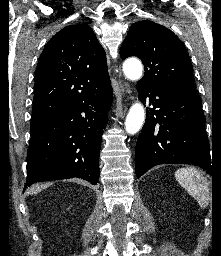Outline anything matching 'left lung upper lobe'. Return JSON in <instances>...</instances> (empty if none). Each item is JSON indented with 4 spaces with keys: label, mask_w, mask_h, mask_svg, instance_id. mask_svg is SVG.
<instances>
[{
    "label": "left lung upper lobe",
    "mask_w": 221,
    "mask_h": 256,
    "mask_svg": "<svg viewBox=\"0 0 221 256\" xmlns=\"http://www.w3.org/2000/svg\"><path fill=\"white\" fill-rule=\"evenodd\" d=\"M120 55L122 59L137 56L142 60L145 73L139 84L196 94L189 55L168 28L148 20L134 23Z\"/></svg>",
    "instance_id": "1"
}]
</instances>
